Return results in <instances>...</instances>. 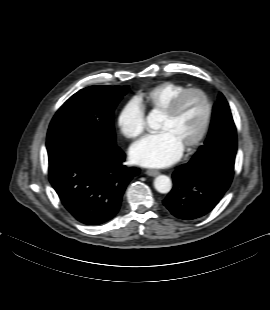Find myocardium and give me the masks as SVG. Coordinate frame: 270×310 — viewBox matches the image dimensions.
<instances>
[{
    "label": "myocardium",
    "instance_id": "obj_1",
    "mask_svg": "<svg viewBox=\"0 0 270 310\" xmlns=\"http://www.w3.org/2000/svg\"><path fill=\"white\" fill-rule=\"evenodd\" d=\"M189 94H198L199 96H201L205 105V117L200 132L195 137V139L185 149H183L184 153H191L192 151H194L207 136L213 112L212 103L209 96L205 91L200 88H186L185 90L174 96L168 106L161 112L162 115L167 119H173L177 115L183 99Z\"/></svg>",
    "mask_w": 270,
    "mask_h": 310
}]
</instances>
